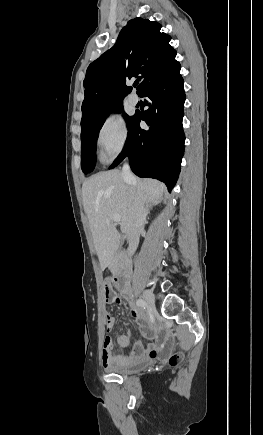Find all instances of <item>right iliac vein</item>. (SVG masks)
I'll return each mask as SVG.
<instances>
[{
  "instance_id": "right-iliac-vein-1",
  "label": "right iliac vein",
  "mask_w": 263,
  "mask_h": 435,
  "mask_svg": "<svg viewBox=\"0 0 263 435\" xmlns=\"http://www.w3.org/2000/svg\"><path fill=\"white\" fill-rule=\"evenodd\" d=\"M142 297L149 306H151L152 308L155 307V298L150 290L143 291Z\"/></svg>"
}]
</instances>
